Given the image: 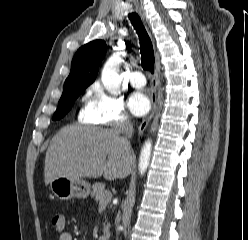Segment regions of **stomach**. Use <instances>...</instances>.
I'll use <instances>...</instances> for the list:
<instances>
[{
	"label": "stomach",
	"mask_w": 248,
	"mask_h": 240,
	"mask_svg": "<svg viewBox=\"0 0 248 240\" xmlns=\"http://www.w3.org/2000/svg\"><path fill=\"white\" fill-rule=\"evenodd\" d=\"M52 193L60 200L72 198H87L90 194V184L81 179L57 177L50 182Z\"/></svg>",
	"instance_id": "0dacf381"
}]
</instances>
